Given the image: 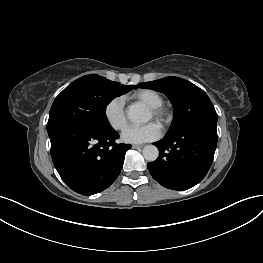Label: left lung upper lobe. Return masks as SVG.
<instances>
[{
    "label": "left lung upper lobe",
    "instance_id": "1",
    "mask_svg": "<svg viewBox=\"0 0 263 263\" xmlns=\"http://www.w3.org/2000/svg\"><path fill=\"white\" fill-rule=\"evenodd\" d=\"M136 88L164 93L172 102L174 118L167 134L199 124H216L218 115L207 94L193 83L178 77L140 83Z\"/></svg>",
    "mask_w": 263,
    "mask_h": 263
}]
</instances>
